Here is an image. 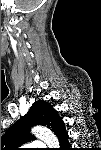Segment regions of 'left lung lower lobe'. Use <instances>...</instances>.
Instances as JSON below:
<instances>
[{
    "mask_svg": "<svg viewBox=\"0 0 101 150\" xmlns=\"http://www.w3.org/2000/svg\"><path fill=\"white\" fill-rule=\"evenodd\" d=\"M59 142L61 144V146L64 147H68L69 143H68V133L65 131L64 133L61 134V136H59Z\"/></svg>",
    "mask_w": 101,
    "mask_h": 150,
    "instance_id": "obj_1",
    "label": "left lung lower lobe"
}]
</instances>
